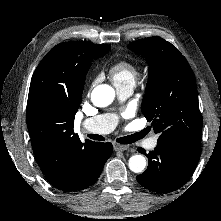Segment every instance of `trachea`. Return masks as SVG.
Segmentation results:
<instances>
[{
	"instance_id": "trachea-1",
	"label": "trachea",
	"mask_w": 221,
	"mask_h": 221,
	"mask_svg": "<svg viewBox=\"0 0 221 221\" xmlns=\"http://www.w3.org/2000/svg\"><path fill=\"white\" fill-rule=\"evenodd\" d=\"M88 137L90 139L98 140V141L104 140L103 136L97 135V134H90V135H88ZM140 138H142V134L141 133H136V134H133V135L118 138L116 141L120 144H131V143H134L135 141L139 140Z\"/></svg>"
}]
</instances>
